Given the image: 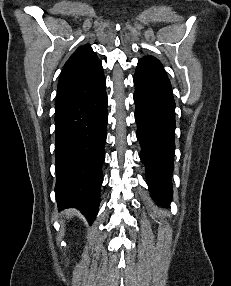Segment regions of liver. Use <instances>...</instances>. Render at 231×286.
Instances as JSON below:
<instances>
[{"instance_id": "liver-1", "label": "liver", "mask_w": 231, "mask_h": 286, "mask_svg": "<svg viewBox=\"0 0 231 286\" xmlns=\"http://www.w3.org/2000/svg\"><path fill=\"white\" fill-rule=\"evenodd\" d=\"M65 214L67 215V217H72L74 215V211L69 210V211H65Z\"/></svg>"}]
</instances>
